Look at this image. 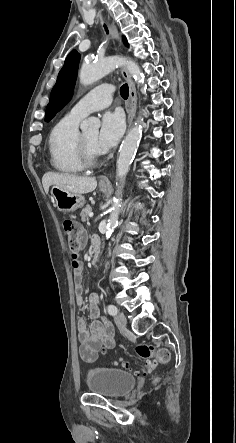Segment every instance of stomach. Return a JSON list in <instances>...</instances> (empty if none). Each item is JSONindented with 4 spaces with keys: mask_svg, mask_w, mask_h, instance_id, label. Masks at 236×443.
I'll list each match as a JSON object with an SVG mask.
<instances>
[{
    "mask_svg": "<svg viewBox=\"0 0 236 443\" xmlns=\"http://www.w3.org/2000/svg\"><path fill=\"white\" fill-rule=\"evenodd\" d=\"M100 190L106 192L107 188L100 187ZM51 196L54 205L63 212H74L85 203V199L81 194L68 192L55 185L51 188Z\"/></svg>",
    "mask_w": 236,
    "mask_h": 443,
    "instance_id": "stomach-1",
    "label": "stomach"
}]
</instances>
